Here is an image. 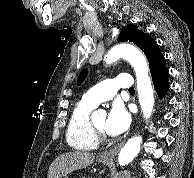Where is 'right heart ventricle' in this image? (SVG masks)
Returning a JSON list of instances; mask_svg holds the SVG:
<instances>
[{"label": "right heart ventricle", "instance_id": "obj_1", "mask_svg": "<svg viewBox=\"0 0 194 178\" xmlns=\"http://www.w3.org/2000/svg\"><path fill=\"white\" fill-rule=\"evenodd\" d=\"M94 105L79 101L73 108L66 129V141L76 150H94L99 144L91 125L89 115Z\"/></svg>", "mask_w": 194, "mask_h": 178}]
</instances>
